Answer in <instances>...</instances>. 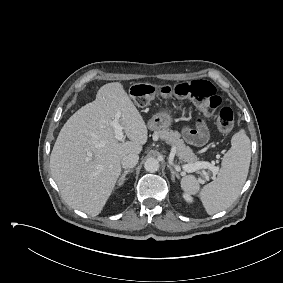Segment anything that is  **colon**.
<instances>
[{
	"mask_svg": "<svg viewBox=\"0 0 283 283\" xmlns=\"http://www.w3.org/2000/svg\"><path fill=\"white\" fill-rule=\"evenodd\" d=\"M130 95L138 107L147 106L156 96H175L194 100L206 114L216 111V128L220 133H228L233 126V112L229 107H221V98L215 86L209 81L198 79L174 86L139 83L131 87Z\"/></svg>",
	"mask_w": 283,
	"mask_h": 283,
	"instance_id": "1",
	"label": "colon"
}]
</instances>
